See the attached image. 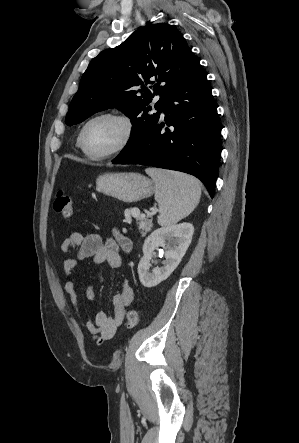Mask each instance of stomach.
<instances>
[{"mask_svg":"<svg viewBox=\"0 0 299 443\" xmlns=\"http://www.w3.org/2000/svg\"><path fill=\"white\" fill-rule=\"evenodd\" d=\"M97 190L124 202H137L156 191L152 180L139 173H106L96 180Z\"/></svg>","mask_w":299,"mask_h":443,"instance_id":"1","label":"stomach"}]
</instances>
